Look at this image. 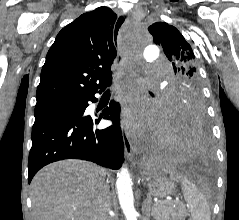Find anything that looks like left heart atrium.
Instances as JSON below:
<instances>
[{"instance_id": "left-heart-atrium-1", "label": "left heart atrium", "mask_w": 239, "mask_h": 220, "mask_svg": "<svg viewBox=\"0 0 239 220\" xmlns=\"http://www.w3.org/2000/svg\"><path fill=\"white\" fill-rule=\"evenodd\" d=\"M125 105L128 122L135 133L142 134L144 131L154 128L155 118L149 115L153 111V106L147 100L127 98L125 99ZM137 113H143L147 116L137 119L135 118Z\"/></svg>"}]
</instances>
